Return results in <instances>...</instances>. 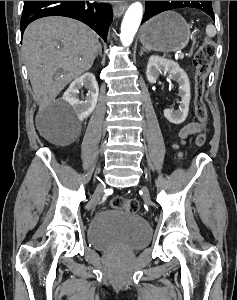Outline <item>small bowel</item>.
Instances as JSON below:
<instances>
[{
	"label": "small bowel",
	"instance_id": "obj_1",
	"mask_svg": "<svg viewBox=\"0 0 237 300\" xmlns=\"http://www.w3.org/2000/svg\"><path fill=\"white\" fill-rule=\"evenodd\" d=\"M200 130V126L196 122H190L183 126L177 133L181 142H184L190 135L197 133ZM178 147V145H176Z\"/></svg>",
	"mask_w": 237,
	"mask_h": 300
}]
</instances>
